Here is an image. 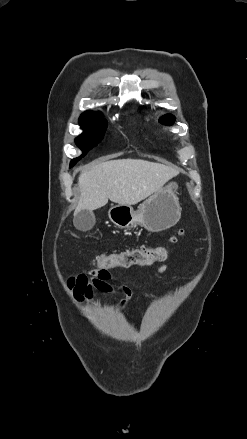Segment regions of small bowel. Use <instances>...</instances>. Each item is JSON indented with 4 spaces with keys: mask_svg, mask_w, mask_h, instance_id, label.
<instances>
[{
    "mask_svg": "<svg viewBox=\"0 0 247 439\" xmlns=\"http://www.w3.org/2000/svg\"><path fill=\"white\" fill-rule=\"evenodd\" d=\"M167 270L166 265H161L157 269V274H162ZM112 275L108 270H91L83 272L72 277L68 281V287L71 290L75 301L82 304L85 300H90L93 296V291L99 290L103 293L114 292V287L111 285ZM124 292V299H122L116 306V309H123L133 294V289L129 284L121 286ZM149 298H155L154 294H145Z\"/></svg>",
    "mask_w": 247,
    "mask_h": 439,
    "instance_id": "obj_1",
    "label": "small bowel"
}]
</instances>
